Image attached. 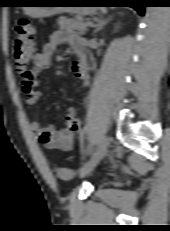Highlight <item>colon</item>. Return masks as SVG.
I'll return each instance as SVG.
<instances>
[{"mask_svg": "<svg viewBox=\"0 0 170 231\" xmlns=\"http://www.w3.org/2000/svg\"><path fill=\"white\" fill-rule=\"evenodd\" d=\"M16 38L13 44V59L22 80L34 78L33 68L30 67L34 53V27L27 18H20L16 23ZM55 173L61 180H71L73 171L64 166L55 167Z\"/></svg>", "mask_w": 170, "mask_h": 231, "instance_id": "5ec220e1", "label": "colon"}]
</instances>
